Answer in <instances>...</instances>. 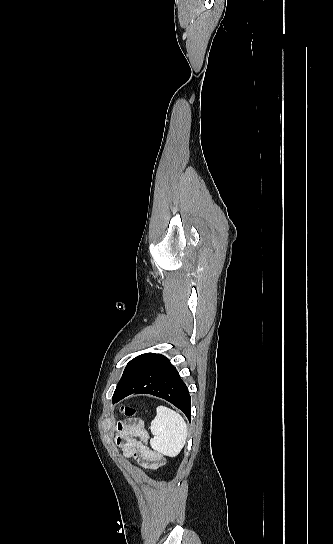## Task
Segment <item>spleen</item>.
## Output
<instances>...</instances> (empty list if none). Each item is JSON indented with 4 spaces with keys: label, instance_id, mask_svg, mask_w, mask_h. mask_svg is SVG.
<instances>
[{
    "label": "spleen",
    "instance_id": "obj_1",
    "mask_svg": "<svg viewBox=\"0 0 333 544\" xmlns=\"http://www.w3.org/2000/svg\"><path fill=\"white\" fill-rule=\"evenodd\" d=\"M154 435L151 445L159 453L174 457L185 445L188 429L183 417L176 411L159 406L150 425Z\"/></svg>",
    "mask_w": 333,
    "mask_h": 544
}]
</instances>
